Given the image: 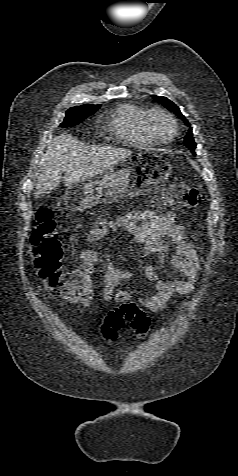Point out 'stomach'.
I'll return each mask as SVG.
<instances>
[{"instance_id":"obj_1","label":"stomach","mask_w":238,"mask_h":476,"mask_svg":"<svg viewBox=\"0 0 238 476\" xmlns=\"http://www.w3.org/2000/svg\"><path fill=\"white\" fill-rule=\"evenodd\" d=\"M172 172L166 156H148L146 151L125 159L90 180L65 191L64 202L72 211H84L114 196L148 195L158 190Z\"/></svg>"}]
</instances>
